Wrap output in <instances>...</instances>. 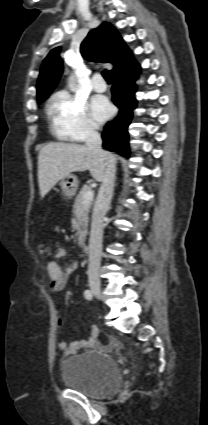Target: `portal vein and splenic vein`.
Here are the masks:
<instances>
[{
    "label": "portal vein and splenic vein",
    "mask_w": 208,
    "mask_h": 425,
    "mask_svg": "<svg viewBox=\"0 0 208 425\" xmlns=\"http://www.w3.org/2000/svg\"><path fill=\"white\" fill-rule=\"evenodd\" d=\"M94 193L92 190H89L85 193L83 197V203H87L93 199Z\"/></svg>",
    "instance_id": "portal-vein-and-splenic-vein-1"
}]
</instances>
